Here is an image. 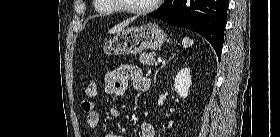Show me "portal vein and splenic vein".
<instances>
[{
	"label": "portal vein and splenic vein",
	"instance_id": "obj_1",
	"mask_svg": "<svg viewBox=\"0 0 280 137\" xmlns=\"http://www.w3.org/2000/svg\"><path fill=\"white\" fill-rule=\"evenodd\" d=\"M162 61V59L161 58H158V62H161Z\"/></svg>",
	"mask_w": 280,
	"mask_h": 137
}]
</instances>
